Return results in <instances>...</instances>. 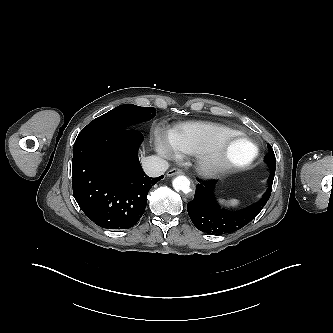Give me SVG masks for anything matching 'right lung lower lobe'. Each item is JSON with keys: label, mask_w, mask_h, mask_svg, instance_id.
Listing matches in <instances>:
<instances>
[{"label": "right lung lower lobe", "mask_w": 333, "mask_h": 333, "mask_svg": "<svg viewBox=\"0 0 333 333\" xmlns=\"http://www.w3.org/2000/svg\"><path fill=\"white\" fill-rule=\"evenodd\" d=\"M143 135L118 127H85L74 143L73 195L98 226L129 229L142 217L147 193L163 175L143 171L138 148Z\"/></svg>", "instance_id": "right-lung-lower-lobe-1"}]
</instances>
